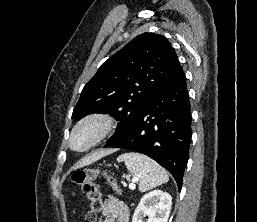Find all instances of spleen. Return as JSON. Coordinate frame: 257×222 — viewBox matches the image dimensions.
I'll return each instance as SVG.
<instances>
[{"label": "spleen", "mask_w": 257, "mask_h": 222, "mask_svg": "<svg viewBox=\"0 0 257 222\" xmlns=\"http://www.w3.org/2000/svg\"><path fill=\"white\" fill-rule=\"evenodd\" d=\"M118 162H124L133 180L139 182V190L146 192L158 185L168 182L167 172L146 155L129 152L120 155Z\"/></svg>", "instance_id": "obj_1"}]
</instances>
